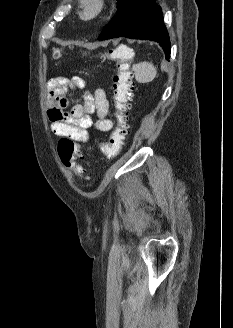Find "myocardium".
Wrapping results in <instances>:
<instances>
[{"mask_svg": "<svg viewBox=\"0 0 233 328\" xmlns=\"http://www.w3.org/2000/svg\"><path fill=\"white\" fill-rule=\"evenodd\" d=\"M104 9V0H79L80 18L83 21H95L102 15Z\"/></svg>", "mask_w": 233, "mask_h": 328, "instance_id": "f54148a6", "label": "myocardium"}]
</instances>
